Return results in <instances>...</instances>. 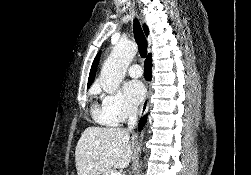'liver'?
I'll use <instances>...</instances> for the list:
<instances>
[{
  "label": "liver",
  "instance_id": "1",
  "mask_svg": "<svg viewBox=\"0 0 251 175\" xmlns=\"http://www.w3.org/2000/svg\"><path fill=\"white\" fill-rule=\"evenodd\" d=\"M129 131L122 127H86L75 149L77 175H100L103 169L127 167L132 157Z\"/></svg>",
  "mask_w": 251,
  "mask_h": 175
}]
</instances>
